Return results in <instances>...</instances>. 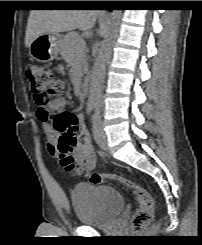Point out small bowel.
<instances>
[{
  "mask_svg": "<svg viewBox=\"0 0 202 245\" xmlns=\"http://www.w3.org/2000/svg\"><path fill=\"white\" fill-rule=\"evenodd\" d=\"M65 105L63 98H58L50 106L51 110L62 111ZM80 121L83 120V116L79 115ZM43 131L47 135V140L49 142V150L53 152L55 150L54 146V136L52 134V127L48 122L43 123ZM74 158L80 164V166L87 172L92 171L96 165V156L94 148L91 145V138L88 130L85 127H81V137L78 139V144L74 149Z\"/></svg>",
  "mask_w": 202,
  "mask_h": 245,
  "instance_id": "c3829d8e",
  "label": "small bowel"
}]
</instances>
